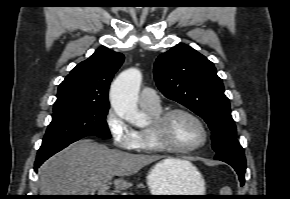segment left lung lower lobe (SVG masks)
<instances>
[{
  "label": "left lung lower lobe",
  "mask_w": 290,
  "mask_h": 199,
  "mask_svg": "<svg viewBox=\"0 0 290 199\" xmlns=\"http://www.w3.org/2000/svg\"><path fill=\"white\" fill-rule=\"evenodd\" d=\"M216 160H220L231 165L237 172L241 186L244 185L245 181V170H246V160L243 153H221L215 156Z\"/></svg>",
  "instance_id": "1"
}]
</instances>
